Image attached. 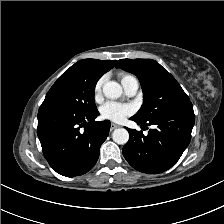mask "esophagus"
<instances>
[{
	"label": "esophagus",
	"instance_id": "34e87169",
	"mask_svg": "<svg viewBox=\"0 0 224 224\" xmlns=\"http://www.w3.org/2000/svg\"><path fill=\"white\" fill-rule=\"evenodd\" d=\"M118 127H119V125L111 123V126H110L111 130H114V129L118 128Z\"/></svg>",
	"mask_w": 224,
	"mask_h": 224
}]
</instances>
